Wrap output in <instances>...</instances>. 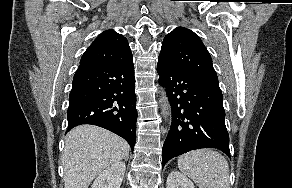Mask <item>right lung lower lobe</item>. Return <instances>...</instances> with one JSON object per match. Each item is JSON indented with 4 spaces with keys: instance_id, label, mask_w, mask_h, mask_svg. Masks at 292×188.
<instances>
[{
    "instance_id": "98d812e1",
    "label": "right lung lower lobe",
    "mask_w": 292,
    "mask_h": 188,
    "mask_svg": "<svg viewBox=\"0 0 292 188\" xmlns=\"http://www.w3.org/2000/svg\"><path fill=\"white\" fill-rule=\"evenodd\" d=\"M68 131L80 124L103 127L136 141V94L133 59L123 63H80L69 96Z\"/></svg>"
}]
</instances>
